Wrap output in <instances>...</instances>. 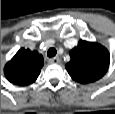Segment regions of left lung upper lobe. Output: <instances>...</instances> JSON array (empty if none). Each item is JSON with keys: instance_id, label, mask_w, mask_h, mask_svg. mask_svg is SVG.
<instances>
[{"instance_id": "obj_1", "label": "left lung upper lobe", "mask_w": 115, "mask_h": 114, "mask_svg": "<svg viewBox=\"0 0 115 114\" xmlns=\"http://www.w3.org/2000/svg\"><path fill=\"white\" fill-rule=\"evenodd\" d=\"M70 57L66 69L79 83H91L102 78L110 63V54L104 46L85 40H80L70 51Z\"/></svg>"}]
</instances>
